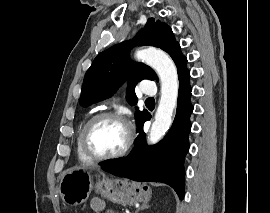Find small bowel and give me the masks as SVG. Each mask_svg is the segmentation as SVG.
Masks as SVG:
<instances>
[{
	"label": "small bowel",
	"instance_id": "1",
	"mask_svg": "<svg viewBox=\"0 0 270 213\" xmlns=\"http://www.w3.org/2000/svg\"><path fill=\"white\" fill-rule=\"evenodd\" d=\"M90 207L94 211V213H99L104 209L103 203L96 200H93L90 202Z\"/></svg>",
	"mask_w": 270,
	"mask_h": 213
}]
</instances>
